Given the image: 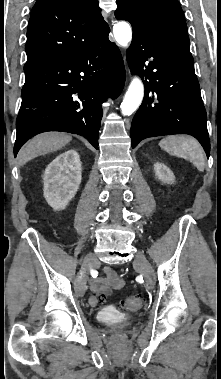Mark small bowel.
Here are the masks:
<instances>
[{
  "mask_svg": "<svg viewBox=\"0 0 221 379\" xmlns=\"http://www.w3.org/2000/svg\"><path fill=\"white\" fill-rule=\"evenodd\" d=\"M124 285V281L121 277L110 267L104 268V277L95 278L92 280L90 289L91 296L89 297V303L95 306L98 301L107 296L113 288L119 289Z\"/></svg>",
  "mask_w": 221,
  "mask_h": 379,
  "instance_id": "obj_1",
  "label": "small bowel"
}]
</instances>
